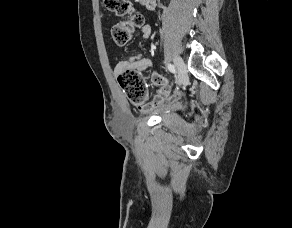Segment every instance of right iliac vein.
Here are the masks:
<instances>
[{
    "label": "right iliac vein",
    "instance_id": "obj_1",
    "mask_svg": "<svg viewBox=\"0 0 292 228\" xmlns=\"http://www.w3.org/2000/svg\"><path fill=\"white\" fill-rule=\"evenodd\" d=\"M174 63L178 69V85H185L188 81L185 63L180 56L174 57Z\"/></svg>",
    "mask_w": 292,
    "mask_h": 228
}]
</instances>
